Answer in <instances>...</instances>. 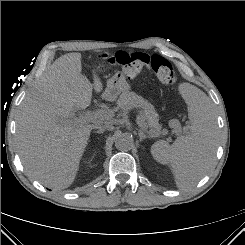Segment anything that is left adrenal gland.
Masks as SVG:
<instances>
[{
    "mask_svg": "<svg viewBox=\"0 0 245 245\" xmlns=\"http://www.w3.org/2000/svg\"><path fill=\"white\" fill-rule=\"evenodd\" d=\"M138 135L140 137V141H143L146 138H150V136L146 135L141 129L138 131Z\"/></svg>",
    "mask_w": 245,
    "mask_h": 245,
    "instance_id": "a2214340",
    "label": "left adrenal gland"
}]
</instances>
